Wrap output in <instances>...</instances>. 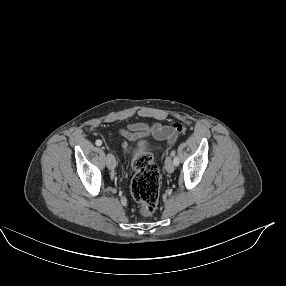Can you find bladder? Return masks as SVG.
I'll use <instances>...</instances> for the list:
<instances>
[{"label": "bladder", "instance_id": "bladder-1", "mask_svg": "<svg viewBox=\"0 0 286 286\" xmlns=\"http://www.w3.org/2000/svg\"><path fill=\"white\" fill-rule=\"evenodd\" d=\"M140 153H141V146H139L138 144H133V146L129 149L127 157L129 162H131L133 166L135 164V160L137 159Z\"/></svg>", "mask_w": 286, "mask_h": 286}]
</instances>
